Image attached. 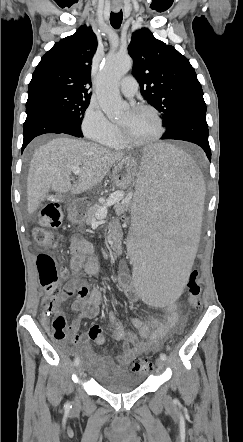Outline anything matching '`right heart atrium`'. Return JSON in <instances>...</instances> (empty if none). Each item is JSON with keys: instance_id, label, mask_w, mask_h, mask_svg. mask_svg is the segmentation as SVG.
Instances as JSON below:
<instances>
[{"instance_id": "d8ad5b80", "label": "right heart atrium", "mask_w": 243, "mask_h": 442, "mask_svg": "<svg viewBox=\"0 0 243 442\" xmlns=\"http://www.w3.org/2000/svg\"><path fill=\"white\" fill-rule=\"evenodd\" d=\"M81 129L86 138L105 143L115 132L113 125L96 102H91L84 112Z\"/></svg>"}]
</instances>
